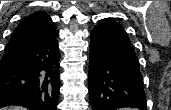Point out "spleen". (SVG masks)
I'll return each mask as SVG.
<instances>
[{
  "mask_svg": "<svg viewBox=\"0 0 171 110\" xmlns=\"http://www.w3.org/2000/svg\"><path fill=\"white\" fill-rule=\"evenodd\" d=\"M125 110H134V109H129V108H128V109H125Z\"/></svg>",
  "mask_w": 171,
  "mask_h": 110,
  "instance_id": "1",
  "label": "spleen"
}]
</instances>
